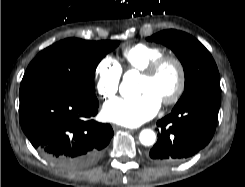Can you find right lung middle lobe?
Returning <instances> with one entry per match:
<instances>
[{
  "instance_id": "right-lung-middle-lobe-1",
  "label": "right lung middle lobe",
  "mask_w": 245,
  "mask_h": 187,
  "mask_svg": "<svg viewBox=\"0 0 245 187\" xmlns=\"http://www.w3.org/2000/svg\"><path fill=\"white\" fill-rule=\"evenodd\" d=\"M118 41L91 42L68 38L42 50L29 64L20 95L40 88H59L97 101L94 74L101 59Z\"/></svg>"
}]
</instances>
